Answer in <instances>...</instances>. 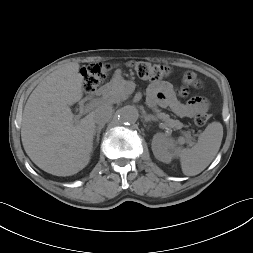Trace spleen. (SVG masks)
Wrapping results in <instances>:
<instances>
[{
    "label": "spleen",
    "mask_w": 253,
    "mask_h": 253,
    "mask_svg": "<svg viewBox=\"0 0 253 253\" xmlns=\"http://www.w3.org/2000/svg\"><path fill=\"white\" fill-rule=\"evenodd\" d=\"M223 138V127L219 122L210 123L200 134L192 148H178L183 174L195 176L201 173L217 155Z\"/></svg>",
    "instance_id": "obj_1"
}]
</instances>
